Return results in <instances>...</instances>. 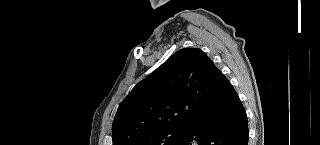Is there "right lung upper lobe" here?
<instances>
[{
  "instance_id": "cb5924a9",
  "label": "right lung upper lobe",
  "mask_w": 320,
  "mask_h": 145,
  "mask_svg": "<svg viewBox=\"0 0 320 145\" xmlns=\"http://www.w3.org/2000/svg\"><path fill=\"white\" fill-rule=\"evenodd\" d=\"M224 77L201 49H180L120 104L113 123V145H130L155 131L185 128L203 118L215 107Z\"/></svg>"
}]
</instances>
